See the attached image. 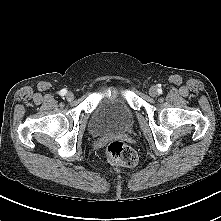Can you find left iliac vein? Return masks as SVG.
I'll return each instance as SVG.
<instances>
[{"mask_svg":"<svg viewBox=\"0 0 221 221\" xmlns=\"http://www.w3.org/2000/svg\"><path fill=\"white\" fill-rule=\"evenodd\" d=\"M149 94L150 96L152 97H155L158 95V89L156 86H152L150 89H149Z\"/></svg>","mask_w":221,"mask_h":221,"instance_id":"1","label":"left iliac vein"}]
</instances>
